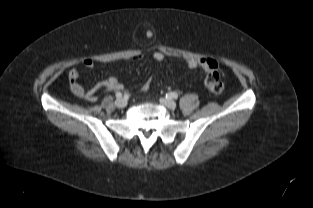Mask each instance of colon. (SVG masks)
I'll list each match as a JSON object with an SVG mask.
<instances>
[{
	"label": "colon",
	"mask_w": 313,
	"mask_h": 208,
	"mask_svg": "<svg viewBox=\"0 0 313 208\" xmlns=\"http://www.w3.org/2000/svg\"><path fill=\"white\" fill-rule=\"evenodd\" d=\"M150 83L146 82L143 86L144 89L149 88ZM205 87L212 93H221L224 90V83L220 80L219 72L217 69H211L205 78Z\"/></svg>",
	"instance_id": "colon-1"
}]
</instances>
